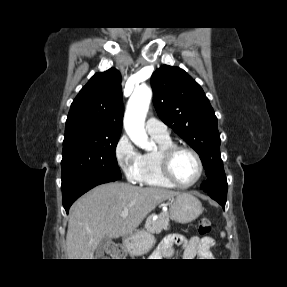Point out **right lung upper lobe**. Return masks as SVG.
<instances>
[{"mask_svg":"<svg viewBox=\"0 0 287 287\" xmlns=\"http://www.w3.org/2000/svg\"><path fill=\"white\" fill-rule=\"evenodd\" d=\"M124 114L121 75L111 68L96 73L71 104L66 129L87 126L99 133H121Z\"/></svg>","mask_w":287,"mask_h":287,"instance_id":"cb5924a9","label":"right lung upper lobe"}]
</instances>
